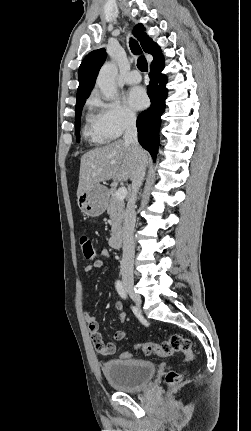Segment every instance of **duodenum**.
Listing matches in <instances>:
<instances>
[{"label":"duodenum","mask_w":251,"mask_h":431,"mask_svg":"<svg viewBox=\"0 0 251 431\" xmlns=\"http://www.w3.org/2000/svg\"><path fill=\"white\" fill-rule=\"evenodd\" d=\"M110 245L115 248L119 249L123 245V232L121 230L116 231L110 238Z\"/></svg>","instance_id":"obj_1"}]
</instances>
